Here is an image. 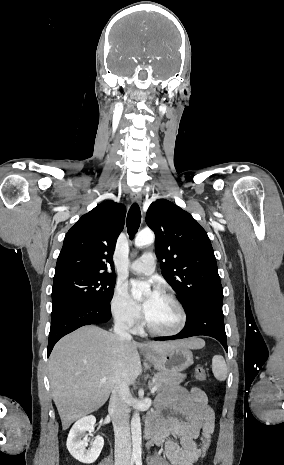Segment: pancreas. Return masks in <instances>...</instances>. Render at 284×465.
Returning a JSON list of instances; mask_svg holds the SVG:
<instances>
[{"instance_id": "pancreas-1", "label": "pancreas", "mask_w": 284, "mask_h": 465, "mask_svg": "<svg viewBox=\"0 0 284 465\" xmlns=\"http://www.w3.org/2000/svg\"><path fill=\"white\" fill-rule=\"evenodd\" d=\"M186 375L178 373V371H172V373H157L155 375V383H150V389L157 387L156 393H161V391H167V389H172L176 385H180Z\"/></svg>"}]
</instances>
